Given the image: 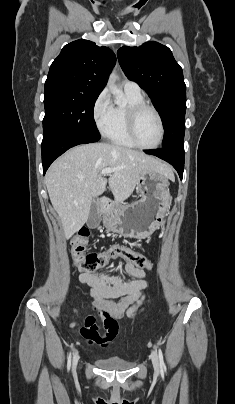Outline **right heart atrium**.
Here are the masks:
<instances>
[{"instance_id": "obj_1", "label": "right heart atrium", "mask_w": 235, "mask_h": 404, "mask_svg": "<svg viewBox=\"0 0 235 404\" xmlns=\"http://www.w3.org/2000/svg\"><path fill=\"white\" fill-rule=\"evenodd\" d=\"M112 102L107 90H102L92 106V116L97 128L103 133L106 129L112 112Z\"/></svg>"}]
</instances>
